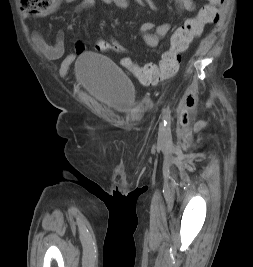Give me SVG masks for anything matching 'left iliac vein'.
I'll return each mask as SVG.
<instances>
[{
	"label": "left iliac vein",
	"mask_w": 253,
	"mask_h": 267,
	"mask_svg": "<svg viewBox=\"0 0 253 267\" xmlns=\"http://www.w3.org/2000/svg\"><path fill=\"white\" fill-rule=\"evenodd\" d=\"M164 131H165V128H164V124L163 122L160 124V128H159V142L162 144L163 141H164Z\"/></svg>",
	"instance_id": "4c4485c4"
}]
</instances>
